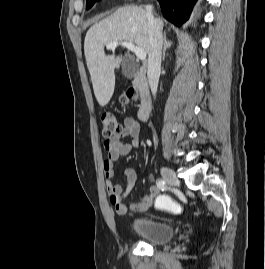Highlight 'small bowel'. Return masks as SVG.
Listing matches in <instances>:
<instances>
[{"label":"small bowel","mask_w":265,"mask_h":269,"mask_svg":"<svg viewBox=\"0 0 265 269\" xmlns=\"http://www.w3.org/2000/svg\"><path fill=\"white\" fill-rule=\"evenodd\" d=\"M140 131V123L132 117H126L123 121L122 133L118 137L105 142V150L107 152V159L103 162V172L106 177L105 186L109 195L110 204L120 215H124L128 211L134 213L148 212L159 194V188L157 186H151L149 191L139 201L125 202V198L135 187L139 176L137 171L132 167H127L124 170L126 178L125 189L112 181L114 162L128 155L139 145ZM126 137L130 138V142L125 141Z\"/></svg>","instance_id":"obj_1"}]
</instances>
